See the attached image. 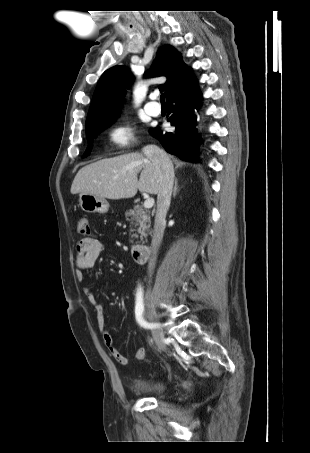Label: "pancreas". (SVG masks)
<instances>
[{
    "mask_svg": "<svg viewBox=\"0 0 310 453\" xmlns=\"http://www.w3.org/2000/svg\"><path fill=\"white\" fill-rule=\"evenodd\" d=\"M125 218L126 221L130 222L131 238H138V234H140L141 240L147 237L151 226L148 210L144 209L141 205H135L133 209L125 212Z\"/></svg>",
    "mask_w": 310,
    "mask_h": 453,
    "instance_id": "1",
    "label": "pancreas"
}]
</instances>
